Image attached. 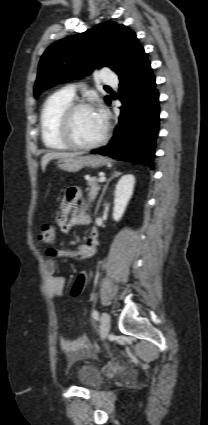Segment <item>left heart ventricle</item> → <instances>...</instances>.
Wrapping results in <instances>:
<instances>
[{
  "label": "left heart ventricle",
  "mask_w": 208,
  "mask_h": 425,
  "mask_svg": "<svg viewBox=\"0 0 208 425\" xmlns=\"http://www.w3.org/2000/svg\"><path fill=\"white\" fill-rule=\"evenodd\" d=\"M105 122L96 110L83 109L76 113L73 121V136L82 144L97 141L104 132Z\"/></svg>",
  "instance_id": "b2bd125f"
}]
</instances>
